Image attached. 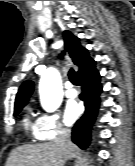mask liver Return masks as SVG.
<instances>
[{"instance_id": "1", "label": "liver", "mask_w": 135, "mask_h": 166, "mask_svg": "<svg viewBox=\"0 0 135 166\" xmlns=\"http://www.w3.org/2000/svg\"><path fill=\"white\" fill-rule=\"evenodd\" d=\"M77 147L70 141L67 149H62L59 139L35 145H22L14 149L5 166H63L72 158Z\"/></svg>"}]
</instances>
